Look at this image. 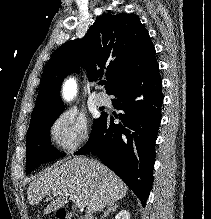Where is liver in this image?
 Listing matches in <instances>:
<instances>
[{"mask_svg":"<svg viewBox=\"0 0 211 219\" xmlns=\"http://www.w3.org/2000/svg\"><path fill=\"white\" fill-rule=\"evenodd\" d=\"M128 187L109 168L89 158H73L49 168L33 180L27 190L30 205L48 195L56 197L43 211L54 212L64 207L69 195H77L88 214L102 210L126 196Z\"/></svg>","mask_w":211,"mask_h":219,"instance_id":"obj_1","label":"liver"}]
</instances>
